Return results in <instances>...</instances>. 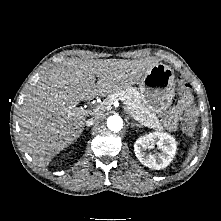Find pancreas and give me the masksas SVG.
<instances>
[{"label": "pancreas", "mask_w": 221, "mask_h": 221, "mask_svg": "<svg viewBox=\"0 0 221 221\" xmlns=\"http://www.w3.org/2000/svg\"><path fill=\"white\" fill-rule=\"evenodd\" d=\"M115 100L122 101L125 105V110L130 113L131 117L141 123V125L153 128L157 131L164 130L157 116L143 105L137 89L131 87L112 93L101 103L100 106L105 108V106L110 105Z\"/></svg>", "instance_id": "cf45deb5"}]
</instances>
